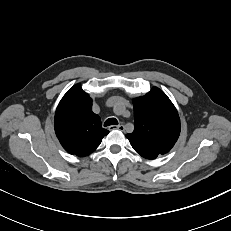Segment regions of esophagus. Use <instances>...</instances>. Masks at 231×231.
Returning a JSON list of instances; mask_svg holds the SVG:
<instances>
[{
  "label": "esophagus",
  "instance_id": "esophagus-1",
  "mask_svg": "<svg viewBox=\"0 0 231 231\" xmlns=\"http://www.w3.org/2000/svg\"><path fill=\"white\" fill-rule=\"evenodd\" d=\"M115 129L120 130V131H124L125 126L124 125H118V126H110L109 127V130H115Z\"/></svg>",
  "mask_w": 231,
  "mask_h": 231
}]
</instances>
